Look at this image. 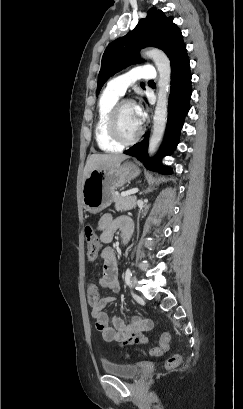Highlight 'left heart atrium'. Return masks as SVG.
<instances>
[{"mask_svg": "<svg viewBox=\"0 0 243 409\" xmlns=\"http://www.w3.org/2000/svg\"><path fill=\"white\" fill-rule=\"evenodd\" d=\"M134 110H135V114L137 116V119H138L139 123L142 124V122L144 120V117H145L144 110H143L142 106L139 105V104H135L134 105Z\"/></svg>", "mask_w": 243, "mask_h": 409, "instance_id": "left-heart-atrium-1", "label": "left heart atrium"}]
</instances>
